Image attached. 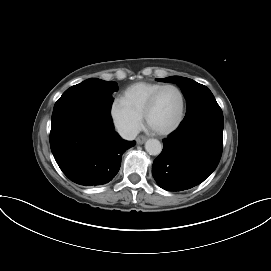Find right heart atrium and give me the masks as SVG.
I'll return each instance as SVG.
<instances>
[{
  "label": "right heart atrium",
  "mask_w": 271,
  "mask_h": 271,
  "mask_svg": "<svg viewBox=\"0 0 271 271\" xmlns=\"http://www.w3.org/2000/svg\"><path fill=\"white\" fill-rule=\"evenodd\" d=\"M110 117L118 133L132 139L142 126V116L128 108L121 99H115L110 106Z\"/></svg>",
  "instance_id": "obj_1"
}]
</instances>
